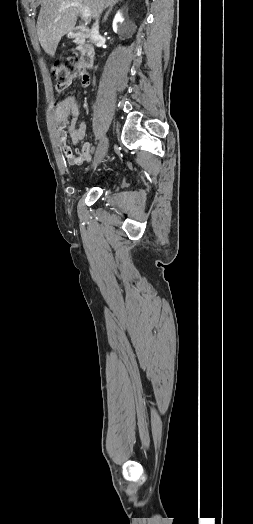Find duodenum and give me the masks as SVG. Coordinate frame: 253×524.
Wrapping results in <instances>:
<instances>
[{
	"label": "duodenum",
	"instance_id": "obj_1",
	"mask_svg": "<svg viewBox=\"0 0 253 524\" xmlns=\"http://www.w3.org/2000/svg\"><path fill=\"white\" fill-rule=\"evenodd\" d=\"M69 36L81 44L80 60L83 63V68H92L95 63V48L88 41L90 29L87 26H77L71 30Z\"/></svg>",
	"mask_w": 253,
	"mask_h": 524
}]
</instances>
